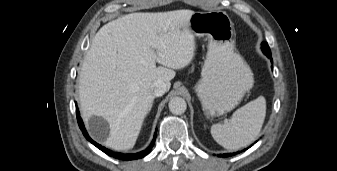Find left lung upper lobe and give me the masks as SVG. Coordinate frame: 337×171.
Wrapping results in <instances>:
<instances>
[{"label":"left lung upper lobe","mask_w":337,"mask_h":171,"mask_svg":"<svg viewBox=\"0 0 337 171\" xmlns=\"http://www.w3.org/2000/svg\"><path fill=\"white\" fill-rule=\"evenodd\" d=\"M261 48H262V51L264 52V54H266L268 56H271L270 48H269V46H268V44L266 42H263L261 44Z\"/></svg>","instance_id":"5c2ea615"}]
</instances>
